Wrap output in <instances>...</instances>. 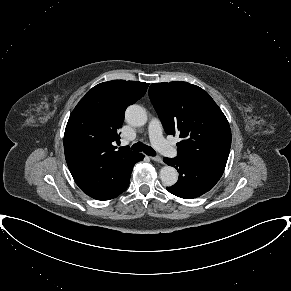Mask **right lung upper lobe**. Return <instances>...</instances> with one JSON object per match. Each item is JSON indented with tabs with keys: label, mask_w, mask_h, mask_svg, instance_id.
<instances>
[{
	"label": "right lung upper lobe",
	"mask_w": 291,
	"mask_h": 291,
	"mask_svg": "<svg viewBox=\"0 0 291 291\" xmlns=\"http://www.w3.org/2000/svg\"><path fill=\"white\" fill-rule=\"evenodd\" d=\"M149 84L113 80L103 82L80 100L64 134L68 168L79 188L102 200L116 192L139 153L128 147L116 150L115 142L126 108L144 96Z\"/></svg>",
	"instance_id": "right-lung-upper-lobe-1"
}]
</instances>
